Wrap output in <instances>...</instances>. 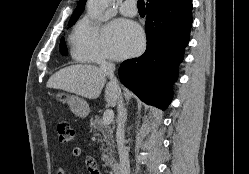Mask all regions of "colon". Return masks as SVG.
<instances>
[{
    "mask_svg": "<svg viewBox=\"0 0 249 174\" xmlns=\"http://www.w3.org/2000/svg\"><path fill=\"white\" fill-rule=\"evenodd\" d=\"M58 140L62 145L70 144L74 139V131L66 121H59L56 125Z\"/></svg>",
    "mask_w": 249,
    "mask_h": 174,
    "instance_id": "obj_1",
    "label": "colon"
}]
</instances>
